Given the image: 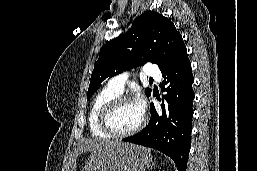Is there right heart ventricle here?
Instances as JSON below:
<instances>
[{
  "mask_svg": "<svg viewBox=\"0 0 257 171\" xmlns=\"http://www.w3.org/2000/svg\"><path fill=\"white\" fill-rule=\"evenodd\" d=\"M117 93L110 89L108 86L100 90L94 97L89 113H88V125L90 134L97 138H109L110 136L103 132L99 127V116L103 107L112 99L119 96Z\"/></svg>",
  "mask_w": 257,
  "mask_h": 171,
  "instance_id": "right-heart-ventricle-1",
  "label": "right heart ventricle"
}]
</instances>
